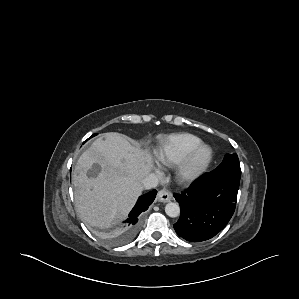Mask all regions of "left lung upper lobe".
<instances>
[{"label":"left lung upper lobe","instance_id":"1","mask_svg":"<svg viewBox=\"0 0 299 299\" xmlns=\"http://www.w3.org/2000/svg\"><path fill=\"white\" fill-rule=\"evenodd\" d=\"M212 174L229 176L240 180L241 169L237 154H226L222 163L212 171Z\"/></svg>","mask_w":299,"mask_h":299}]
</instances>
